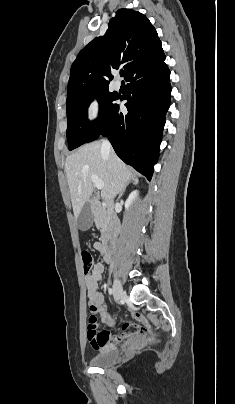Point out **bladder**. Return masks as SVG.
I'll return each instance as SVG.
<instances>
[{
  "label": "bladder",
  "instance_id": "31cf9c89",
  "mask_svg": "<svg viewBox=\"0 0 235 404\" xmlns=\"http://www.w3.org/2000/svg\"><path fill=\"white\" fill-rule=\"evenodd\" d=\"M121 358L120 350L116 348L102 349L90 361L95 367L106 368L117 363Z\"/></svg>",
  "mask_w": 235,
  "mask_h": 404
}]
</instances>
